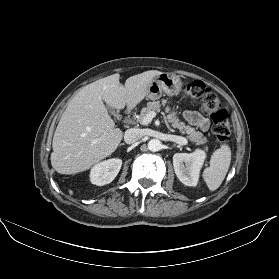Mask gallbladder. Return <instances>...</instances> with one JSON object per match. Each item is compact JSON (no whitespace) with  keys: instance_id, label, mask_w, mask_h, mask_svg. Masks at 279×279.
<instances>
[{"instance_id":"1","label":"gallbladder","mask_w":279,"mask_h":279,"mask_svg":"<svg viewBox=\"0 0 279 279\" xmlns=\"http://www.w3.org/2000/svg\"><path fill=\"white\" fill-rule=\"evenodd\" d=\"M108 109L110 111V113L115 117V118H119V114L118 112H116L113 108L108 106Z\"/></svg>"}]
</instances>
